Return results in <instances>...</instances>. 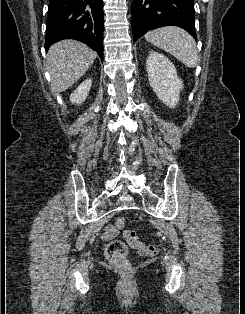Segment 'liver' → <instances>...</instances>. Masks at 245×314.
<instances>
[{"label": "liver", "mask_w": 245, "mask_h": 314, "mask_svg": "<svg viewBox=\"0 0 245 314\" xmlns=\"http://www.w3.org/2000/svg\"><path fill=\"white\" fill-rule=\"evenodd\" d=\"M97 57L87 45L64 40L52 45L47 53V66L52 90L60 93L69 89L91 67Z\"/></svg>", "instance_id": "1"}]
</instances>
